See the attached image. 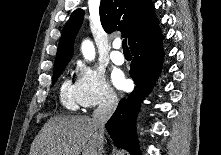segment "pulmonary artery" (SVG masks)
<instances>
[{"mask_svg": "<svg viewBox=\"0 0 221 155\" xmlns=\"http://www.w3.org/2000/svg\"><path fill=\"white\" fill-rule=\"evenodd\" d=\"M121 42L116 40L113 42V51L110 54V58L116 65H122L125 62L124 55L119 51Z\"/></svg>", "mask_w": 221, "mask_h": 155, "instance_id": "e3ab8cb5", "label": "pulmonary artery"}]
</instances>
